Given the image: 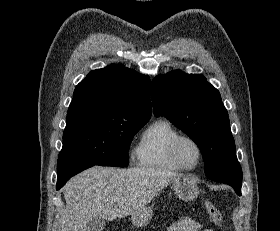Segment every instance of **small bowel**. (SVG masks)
Listing matches in <instances>:
<instances>
[{
	"mask_svg": "<svg viewBox=\"0 0 280 231\" xmlns=\"http://www.w3.org/2000/svg\"><path fill=\"white\" fill-rule=\"evenodd\" d=\"M168 231H213L211 228L206 227L203 223L189 218L181 217L172 223Z\"/></svg>",
	"mask_w": 280,
	"mask_h": 231,
	"instance_id": "c3829d8e",
	"label": "small bowel"
}]
</instances>
